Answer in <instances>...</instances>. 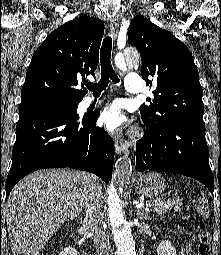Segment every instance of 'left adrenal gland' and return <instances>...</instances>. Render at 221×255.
<instances>
[{
  "label": "left adrenal gland",
  "mask_w": 221,
  "mask_h": 255,
  "mask_svg": "<svg viewBox=\"0 0 221 255\" xmlns=\"http://www.w3.org/2000/svg\"><path fill=\"white\" fill-rule=\"evenodd\" d=\"M136 214H137V217H138L140 220L149 218L148 212H144V211H142L141 209H137V213H136Z\"/></svg>",
  "instance_id": "obj_1"
}]
</instances>
